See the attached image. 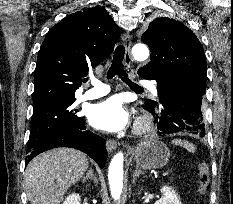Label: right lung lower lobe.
I'll return each mask as SVG.
<instances>
[{"label": "right lung lower lobe", "instance_id": "right-lung-lower-lobe-1", "mask_svg": "<svg viewBox=\"0 0 233 204\" xmlns=\"http://www.w3.org/2000/svg\"><path fill=\"white\" fill-rule=\"evenodd\" d=\"M56 147L78 149L94 159L101 168L104 167L108 155L104 139L91 131L86 130L82 119L77 126L60 131L30 149L27 152L28 155L26 157L25 166L36 155Z\"/></svg>", "mask_w": 233, "mask_h": 204}]
</instances>
